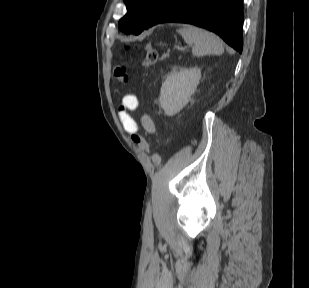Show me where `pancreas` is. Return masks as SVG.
I'll use <instances>...</instances> for the list:
<instances>
[{"mask_svg": "<svg viewBox=\"0 0 309 288\" xmlns=\"http://www.w3.org/2000/svg\"><path fill=\"white\" fill-rule=\"evenodd\" d=\"M167 56V54L162 55V59L166 58Z\"/></svg>", "mask_w": 309, "mask_h": 288, "instance_id": "1", "label": "pancreas"}]
</instances>
